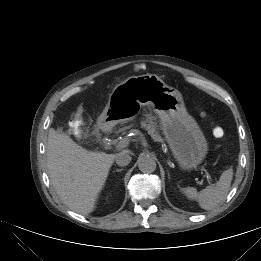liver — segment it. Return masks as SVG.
Listing matches in <instances>:
<instances>
[{
    "instance_id": "6515ba94",
    "label": "liver",
    "mask_w": 261,
    "mask_h": 261,
    "mask_svg": "<svg viewBox=\"0 0 261 261\" xmlns=\"http://www.w3.org/2000/svg\"><path fill=\"white\" fill-rule=\"evenodd\" d=\"M46 152L50 181L62 202L83 215L93 212L115 155L88 151L54 129Z\"/></svg>"
}]
</instances>
